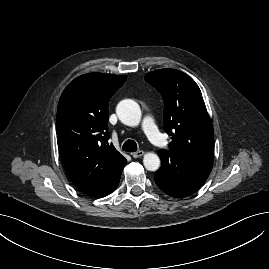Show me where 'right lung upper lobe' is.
I'll list each match as a JSON object with an SVG mask.
<instances>
[{"instance_id":"obj_1","label":"right lung upper lobe","mask_w":269,"mask_h":269,"mask_svg":"<svg viewBox=\"0 0 269 269\" xmlns=\"http://www.w3.org/2000/svg\"><path fill=\"white\" fill-rule=\"evenodd\" d=\"M127 76L89 73L63 91L57 109V143L64 167L82 192L113 178L126 159L108 144V102Z\"/></svg>"}]
</instances>
